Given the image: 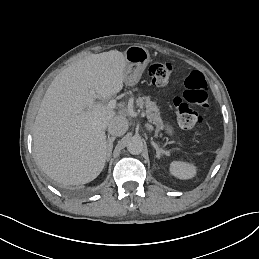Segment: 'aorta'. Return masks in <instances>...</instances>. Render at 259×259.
Listing matches in <instances>:
<instances>
[{
	"label": "aorta",
	"instance_id": "aorta-1",
	"mask_svg": "<svg viewBox=\"0 0 259 259\" xmlns=\"http://www.w3.org/2000/svg\"><path fill=\"white\" fill-rule=\"evenodd\" d=\"M127 150L133 155H138L143 151V142L138 138H132L127 144Z\"/></svg>",
	"mask_w": 259,
	"mask_h": 259
}]
</instances>
